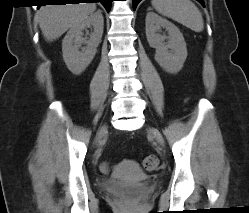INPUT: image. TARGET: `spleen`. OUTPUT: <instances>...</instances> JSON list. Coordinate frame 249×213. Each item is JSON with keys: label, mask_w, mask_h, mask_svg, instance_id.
Listing matches in <instances>:
<instances>
[{"label": "spleen", "mask_w": 249, "mask_h": 213, "mask_svg": "<svg viewBox=\"0 0 249 213\" xmlns=\"http://www.w3.org/2000/svg\"><path fill=\"white\" fill-rule=\"evenodd\" d=\"M152 6L158 13L195 32H201L204 29L202 14L190 0H152Z\"/></svg>", "instance_id": "1"}]
</instances>
